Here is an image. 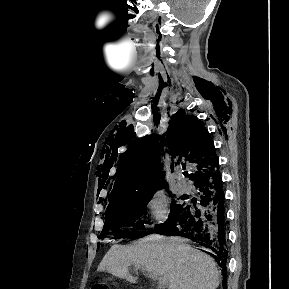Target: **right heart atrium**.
Listing matches in <instances>:
<instances>
[{"label":"right heart atrium","instance_id":"d8ad5b80","mask_svg":"<svg viewBox=\"0 0 289 289\" xmlns=\"http://www.w3.org/2000/svg\"><path fill=\"white\" fill-rule=\"evenodd\" d=\"M146 209L154 224L163 223L168 217V201L162 191L153 192L146 202Z\"/></svg>","mask_w":289,"mask_h":289}]
</instances>
